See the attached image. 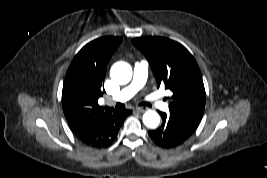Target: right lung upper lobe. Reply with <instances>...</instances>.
<instances>
[{
  "mask_svg": "<svg viewBox=\"0 0 267 178\" xmlns=\"http://www.w3.org/2000/svg\"><path fill=\"white\" fill-rule=\"evenodd\" d=\"M122 42L121 37H101L85 45L74 57L63 83L62 107L71 129L114 110L98 105L103 95L106 66Z\"/></svg>",
  "mask_w": 267,
  "mask_h": 178,
  "instance_id": "1",
  "label": "right lung upper lobe"
}]
</instances>
